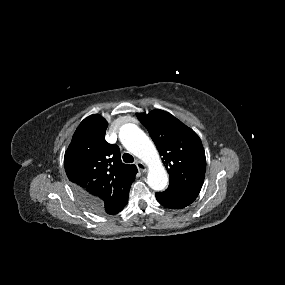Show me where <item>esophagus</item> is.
Wrapping results in <instances>:
<instances>
[{
  "label": "esophagus",
  "instance_id": "34e87169",
  "mask_svg": "<svg viewBox=\"0 0 285 285\" xmlns=\"http://www.w3.org/2000/svg\"><path fill=\"white\" fill-rule=\"evenodd\" d=\"M136 166H137L138 170L142 173H145L147 171V167L142 161H137Z\"/></svg>",
  "mask_w": 285,
  "mask_h": 285
}]
</instances>
